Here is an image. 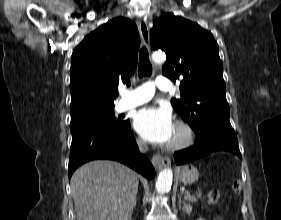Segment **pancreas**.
Masks as SVG:
<instances>
[{"mask_svg": "<svg viewBox=\"0 0 281 220\" xmlns=\"http://www.w3.org/2000/svg\"><path fill=\"white\" fill-rule=\"evenodd\" d=\"M185 198L189 201V202H196L198 199V196L196 195H192L189 192H185Z\"/></svg>", "mask_w": 281, "mask_h": 220, "instance_id": "pancreas-1", "label": "pancreas"}]
</instances>
